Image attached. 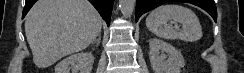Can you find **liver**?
<instances>
[{
    "mask_svg": "<svg viewBox=\"0 0 244 73\" xmlns=\"http://www.w3.org/2000/svg\"><path fill=\"white\" fill-rule=\"evenodd\" d=\"M102 19L87 0H39L25 17V33L37 67L87 48Z\"/></svg>",
    "mask_w": 244,
    "mask_h": 73,
    "instance_id": "obj_1",
    "label": "liver"
}]
</instances>
